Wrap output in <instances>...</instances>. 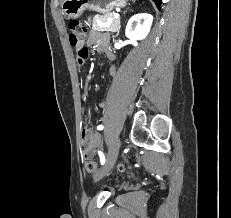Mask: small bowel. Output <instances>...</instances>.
<instances>
[{
	"instance_id": "1",
	"label": "small bowel",
	"mask_w": 231,
	"mask_h": 218,
	"mask_svg": "<svg viewBox=\"0 0 231 218\" xmlns=\"http://www.w3.org/2000/svg\"><path fill=\"white\" fill-rule=\"evenodd\" d=\"M86 44L88 46L95 45L99 51L106 53L109 58H113L112 52H110V50L108 49V39L105 35L93 31L90 33V35L86 41ZM83 46H84V44L75 46L77 52ZM76 62L80 67H82V66L88 64L89 59L86 56H83L82 58H77ZM110 73H111V75H114V69L113 68L110 69ZM99 106H100V108H105L106 102L105 101L101 102ZM99 143H100V137L98 135L90 136L89 131L87 129H85L83 131V134L81 137V154H82V156L84 158L92 157L94 155L95 149Z\"/></svg>"
}]
</instances>
